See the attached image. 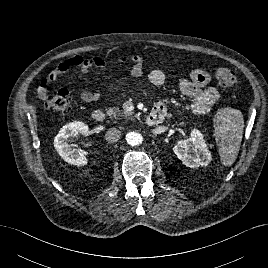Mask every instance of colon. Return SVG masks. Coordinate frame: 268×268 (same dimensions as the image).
<instances>
[{"label":"colon","mask_w":268,"mask_h":268,"mask_svg":"<svg viewBox=\"0 0 268 268\" xmlns=\"http://www.w3.org/2000/svg\"><path fill=\"white\" fill-rule=\"evenodd\" d=\"M215 76L218 83L227 89H232L236 86L237 79L235 73L225 67H218L215 71ZM43 93V89H41ZM71 93L66 89H60L55 94L49 96L46 93L42 97L41 107L48 111H68L71 106Z\"/></svg>","instance_id":"1"}]
</instances>
